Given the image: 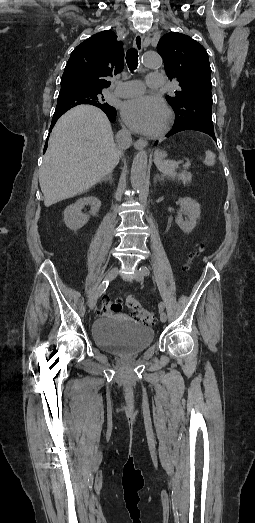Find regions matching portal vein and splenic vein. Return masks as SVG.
Here are the masks:
<instances>
[{
  "instance_id": "1",
  "label": "portal vein and splenic vein",
  "mask_w": 255,
  "mask_h": 523,
  "mask_svg": "<svg viewBox=\"0 0 255 523\" xmlns=\"http://www.w3.org/2000/svg\"><path fill=\"white\" fill-rule=\"evenodd\" d=\"M192 165V162L190 160H187L183 166V168H181V173H186V168L190 167Z\"/></svg>"
}]
</instances>
